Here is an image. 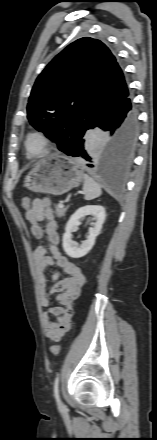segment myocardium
<instances>
[{
  "label": "myocardium",
  "mask_w": 157,
  "mask_h": 440,
  "mask_svg": "<svg viewBox=\"0 0 157 440\" xmlns=\"http://www.w3.org/2000/svg\"><path fill=\"white\" fill-rule=\"evenodd\" d=\"M34 136L40 138L42 140L43 144H44L43 151L38 153V154H32L29 151V147H28V142H29L30 138L34 137ZM51 147H52L51 139L49 138V136L46 133H44L41 130H33V131L29 132L26 135L25 140H24V149H25L26 153L28 155H31V156H42V155H45V154H47L51 150Z\"/></svg>",
  "instance_id": "1"
}]
</instances>
